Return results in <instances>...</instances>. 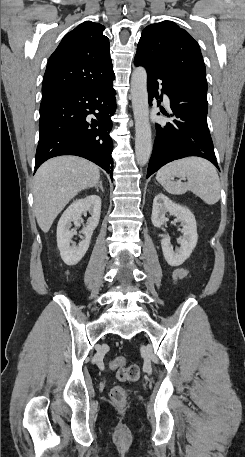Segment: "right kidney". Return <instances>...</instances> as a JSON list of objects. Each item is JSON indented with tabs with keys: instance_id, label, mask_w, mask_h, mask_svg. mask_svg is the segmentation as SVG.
Instances as JSON below:
<instances>
[{
	"instance_id": "ca27d5eb",
	"label": "right kidney",
	"mask_w": 245,
	"mask_h": 457,
	"mask_svg": "<svg viewBox=\"0 0 245 457\" xmlns=\"http://www.w3.org/2000/svg\"><path fill=\"white\" fill-rule=\"evenodd\" d=\"M90 212L86 226L81 233L85 235L78 247L70 245L73 235H77L76 229H71L72 222L75 226H80L83 222L82 214ZM101 212V198L97 194H89L85 198L74 200L66 210H64L57 226V247L59 251H64L69 257L70 265H77L89 249L92 233L99 222Z\"/></svg>"
}]
</instances>
